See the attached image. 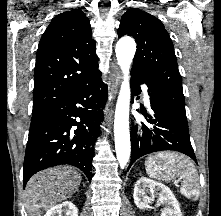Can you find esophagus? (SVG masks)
<instances>
[{
	"label": "esophagus",
	"instance_id": "esophagus-1",
	"mask_svg": "<svg viewBox=\"0 0 221 216\" xmlns=\"http://www.w3.org/2000/svg\"><path fill=\"white\" fill-rule=\"evenodd\" d=\"M121 82V73L118 67L114 68V72L110 75L108 80V102L105 109L104 120L107 121L108 119V112L112 107L113 100L115 99L118 89Z\"/></svg>",
	"mask_w": 221,
	"mask_h": 216
}]
</instances>
